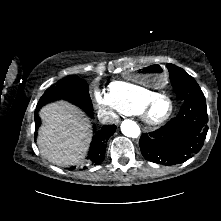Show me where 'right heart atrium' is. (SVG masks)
I'll use <instances>...</instances> for the list:
<instances>
[{
	"label": "right heart atrium",
	"instance_id": "1",
	"mask_svg": "<svg viewBox=\"0 0 221 221\" xmlns=\"http://www.w3.org/2000/svg\"><path fill=\"white\" fill-rule=\"evenodd\" d=\"M94 98L98 106L103 109L107 114L111 116H116L121 113L119 107L111 99L108 92L96 88L94 89Z\"/></svg>",
	"mask_w": 221,
	"mask_h": 221
}]
</instances>
